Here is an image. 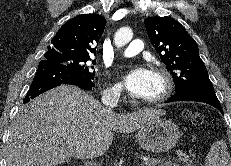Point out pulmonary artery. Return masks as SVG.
<instances>
[{"label": "pulmonary artery", "mask_w": 231, "mask_h": 166, "mask_svg": "<svg viewBox=\"0 0 231 166\" xmlns=\"http://www.w3.org/2000/svg\"><path fill=\"white\" fill-rule=\"evenodd\" d=\"M144 48V43L140 39L132 40L127 48L123 51V56L132 57L140 53Z\"/></svg>", "instance_id": "1"}]
</instances>
